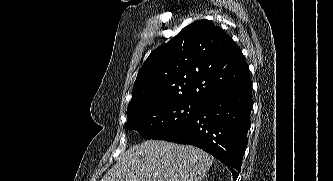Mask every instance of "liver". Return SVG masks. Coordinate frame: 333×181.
Listing matches in <instances>:
<instances>
[{"mask_svg":"<svg viewBox=\"0 0 333 181\" xmlns=\"http://www.w3.org/2000/svg\"><path fill=\"white\" fill-rule=\"evenodd\" d=\"M213 162L195 146L147 140L129 149L101 181H202Z\"/></svg>","mask_w":333,"mask_h":181,"instance_id":"obj_1","label":"liver"}]
</instances>
